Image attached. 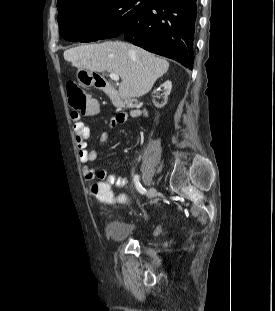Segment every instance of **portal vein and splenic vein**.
Instances as JSON below:
<instances>
[{"label":"portal vein and splenic vein","instance_id":"18ae733b","mask_svg":"<svg viewBox=\"0 0 275 311\" xmlns=\"http://www.w3.org/2000/svg\"><path fill=\"white\" fill-rule=\"evenodd\" d=\"M110 78L113 80V81H119V75L115 74V73H110Z\"/></svg>","mask_w":275,"mask_h":311}]
</instances>
